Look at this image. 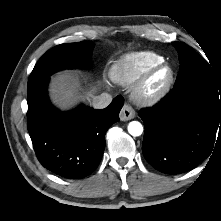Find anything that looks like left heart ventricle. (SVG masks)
Here are the masks:
<instances>
[{"label":"left heart ventricle","instance_id":"b2bd125f","mask_svg":"<svg viewBox=\"0 0 221 221\" xmlns=\"http://www.w3.org/2000/svg\"><path fill=\"white\" fill-rule=\"evenodd\" d=\"M168 75L169 73L167 69H162L157 72L150 82L149 91L153 92L160 88L166 82Z\"/></svg>","mask_w":221,"mask_h":221}]
</instances>
